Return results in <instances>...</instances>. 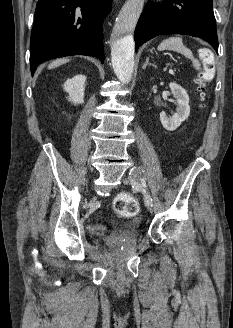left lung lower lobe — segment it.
Segmentation results:
<instances>
[{
    "label": "left lung lower lobe",
    "instance_id": "1",
    "mask_svg": "<svg viewBox=\"0 0 233 328\" xmlns=\"http://www.w3.org/2000/svg\"><path fill=\"white\" fill-rule=\"evenodd\" d=\"M166 33L200 37L218 51L212 0H167L159 5L147 4L134 33L136 51L140 44Z\"/></svg>",
    "mask_w": 233,
    "mask_h": 328
}]
</instances>
